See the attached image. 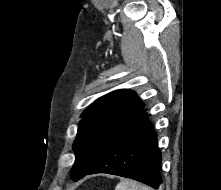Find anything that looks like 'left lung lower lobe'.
Wrapping results in <instances>:
<instances>
[{
    "instance_id": "left-lung-lower-lobe-1",
    "label": "left lung lower lobe",
    "mask_w": 221,
    "mask_h": 190,
    "mask_svg": "<svg viewBox=\"0 0 221 190\" xmlns=\"http://www.w3.org/2000/svg\"><path fill=\"white\" fill-rule=\"evenodd\" d=\"M161 161L157 134L147 117L146 109H142L112 138L85 175L108 173L158 189L162 184Z\"/></svg>"
}]
</instances>
